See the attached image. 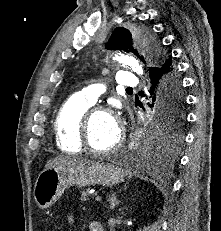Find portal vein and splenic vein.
Here are the masks:
<instances>
[{"mask_svg":"<svg viewBox=\"0 0 221 231\" xmlns=\"http://www.w3.org/2000/svg\"><path fill=\"white\" fill-rule=\"evenodd\" d=\"M101 199H102V197H101L100 195H96V196H95V200H96V201H100Z\"/></svg>","mask_w":221,"mask_h":231,"instance_id":"18ae733b","label":"portal vein and splenic vein"}]
</instances>
